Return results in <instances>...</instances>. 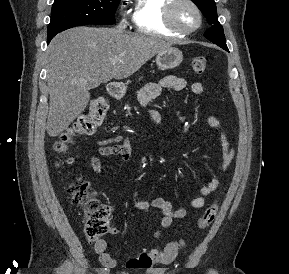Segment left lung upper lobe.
<instances>
[{
	"mask_svg": "<svg viewBox=\"0 0 289 274\" xmlns=\"http://www.w3.org/2000/svg\"><path fill=\"white\" fill-rule=\"evenodd\" d=\"M193 3L203 13L207 22L211 27L205 32V37L220 46L223 49L227 48L226 40L223 32L222 25L217 18L216 4L214 0H192Z\"/></svg>",
	"mask_w": 289,
	"mask_h": 274,
	"instance_id": "obj_1",
	"label": "left lung upper lobe"
}]
</instances>
